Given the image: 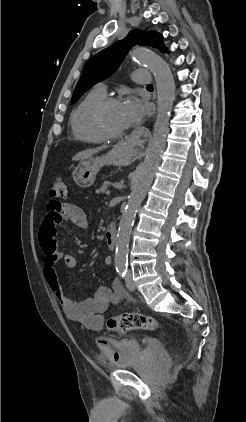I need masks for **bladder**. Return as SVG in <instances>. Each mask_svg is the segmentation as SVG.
<instances>
[{"label":"bladder","mask_w":246,"mask_h":422,"mask_svg":"<svg viewBox=\"0 0 246 422\" xmlns=\"http://www.w3.org/2000/svg\"><path fill=\"white\" fill-rule=\"evenodd\" d=\"M100 350L108 361L117 368H127L136 365L142 352L141 343L137 339H108L100 345ZM155 364L166 369L169 366V356L160 346L151 349Z\"/></svg>","instance_id":"31cf9c89"}]
</instances>
